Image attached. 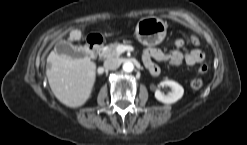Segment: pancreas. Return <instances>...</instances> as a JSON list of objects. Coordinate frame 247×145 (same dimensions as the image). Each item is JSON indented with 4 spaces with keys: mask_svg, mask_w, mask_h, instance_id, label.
Returning <instances> with one entry per match:
<instances>
[{
    "mask_svg": "<svg viewBox=\"0 0 247 145\" xmlns=\"http://www.w3.org/2000/svg\"><path fill=\"white\" fill-rule=\"evenodd\" d=\"M119 45V43H113L108 46H105L101 50L100 56L103 58H118L120 56V53L117 52V47Z\"/></svg>",
    "mask_w": 247,
    "mask_h": 145,
    "instance_id": "obj_1",
    "label": "pancreas"
}]
</instances>
